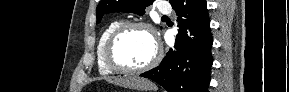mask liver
I'll return each mask as SVG.
<instances>
[{
    "mask_svg": "<svg viewBox=\"0 0 289 92\" xmlns=\"http://www.w3.org/2000/svg\"><path fill=\"white\" fill-rule=\"evenodd\" d=\"M108 82L135 89H147L152 86V84L145 79H134V78L114 79V80L109 79Z\"/></svg>",
    "mask_w": 289,
    "mask_h": 92,
    "instance_id": "obj_1",
    "label": "liver"
}]
</instances>
